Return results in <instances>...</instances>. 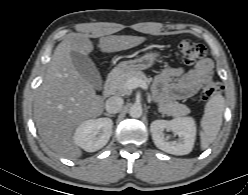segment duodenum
I'll use <instances>...</instances> for the list:
<instances>
[{
	"label": "duodenum",
	"mask_w": 248,
	"mask_h": 195,
	"mask_svg": "<svg viewBox=\"0 0 248 195\" xmlns=\"http://www.w3.org/2000/svg\"><path fill=\"white\" fill-rule=\"evenodd\" d=\"M118 74L119 73L117 71H112L107 76V79L105 81L104 88H103V95L105 97H111L113 95L114 85L118 77Z\"/></svg>",
	"instance_id": "1"
}]
</instances>
